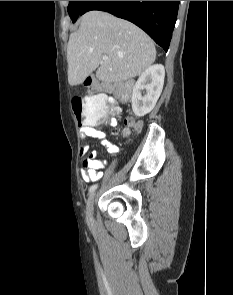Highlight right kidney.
Segmentation results:
<instances>
[{"instance_id":"right-kidney-1","label":"right kidney","mask_w":233,"mask_h":295,"mask_svg":"<svg viewBox=\"0 0 233 295\" xmlns=\"http://www.w3.org/2000/svg\"><path fill=\"white\" fill-rule=\"evenodd\" d=\"M165 69L161 64L148 67L138 78L132 90V110L138 117L148 114L155 106L163 89ZM145 94L142 95V91Z\"/></svg>"}]
</instances>
